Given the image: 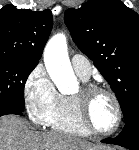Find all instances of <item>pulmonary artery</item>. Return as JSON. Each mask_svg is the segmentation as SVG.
Wrapping results in <instances>:
<instances>
[{"instance_id":"1","label":"pulmonary artery","mask_w":139,"mask_h":150,"mask_svg":"<svg viewBox=\"0 0 139 150\" xmlns=\"http://www.w3.org/2000/svg\"><path fill=\"white\" fill-rule=\"evenodd\" d=\"M71 62L72 67L78 76H80L84 80L90 79L92 75V66L86 57L75 54L72 57Z\"/></svg>"}]
</instances>
